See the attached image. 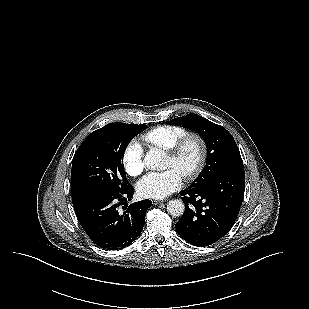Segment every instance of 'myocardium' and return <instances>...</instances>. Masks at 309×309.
<instances>
[{
	"label": "myocardium",
	"mask_w": 309,
	"mask_h": 309,
	"mask_svg": "<svg viewBox=\"0 0 309 309\" xmlns=\"http://www.w3.org/2000/svg\"><path fill=\"white\" fill-rule=\"evenodd\" d=\"M190 141H196L199 145L200 155L197 164L193 169L183 174V179L186 181H192L202 172L208 158V146L203 136L198 133L191 132L182 136L171 148L166 150L167 156L172 160H178L181 156L184 148Z\"/></svg>",
	"instance_id": "myocardium-1"
}]
</instances>
